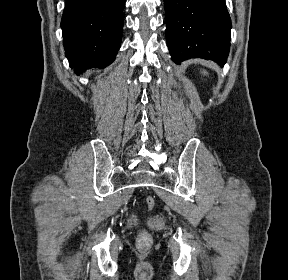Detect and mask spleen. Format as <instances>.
<instances>
[{"mask_svg": "<svg viewBox=\"0 0 288 280\" xmlns=\"http://www.w3.org/2000/svg\"><path fill=\"white\" fill-rule=\"evenodd\" d=\"M203 74H208L206 71L203 70Z\"/></svg>", "mask_w": 288, "mask_h": 280, "instance_id": "obj_1", "label": "spleen"}]
</instances>
